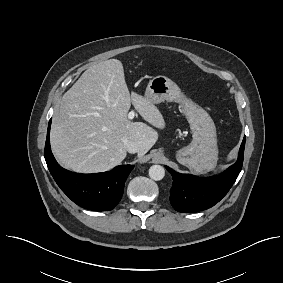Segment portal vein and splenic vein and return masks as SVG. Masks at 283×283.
Wrapping results in <instances>:
<instances>
[{
  "instance_id": "18ae733b",
  "label": "portal vein and splenic vein",
  "mask_w": 283,
  "mask_h": 283,
  "mask_svg": "<svg viewBox=\"0 0 283 283\" xmlns=\"http://www.w3.org/2000/svg\"><path fill=\"white\" fill-rule=\"evenodd\" d=\"M135 117V112L134 111H130L128 114V119L132 120Z\"/></svg>"
}]
</instances>
